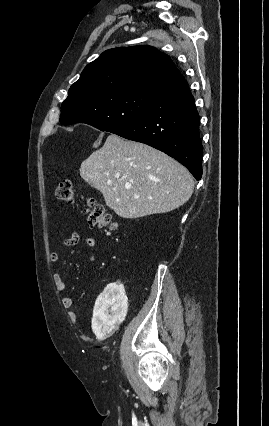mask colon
Segmentation results:
<instances>
[{
	"instance_id": "1",
	"label": "colon",
	"mask_w": 269,
	"mask_h": 426,
	"mask_svg": "<svg viewBox=\"0 0 269 426\" xmlns=\"http://www.w3.org/2000/svg\"><path fill=\"white\" fill-rule=\"evenodd\" d=\"M56 196L59 200L64 202H74L76 200V192L74 185L70 180H62L56 189ZM84 214L87 217L89 224L99 227L105 231H113L116 228L115 222L112 220L104 207L97 203L94 198L87 200L84 208Z\"/></svg>"
}]
</instances>
